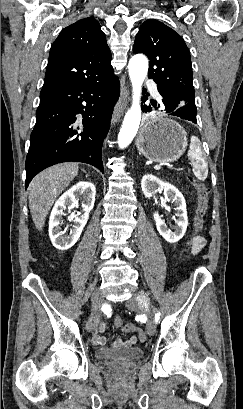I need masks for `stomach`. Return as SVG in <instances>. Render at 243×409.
<instances>
[{
  "label": "stomach",
  "mask_w": 243,
  "mask_h": 409,
  "mask_svg": "<svg viewBox=\"0 0 243 409\" xmlns=\"http://www.w3.org/2000/svg\"><path fill=\"white\" fill-rule=\"evenodd\" d=\"M138 151L147 159L174 162L187 147V133L176 121L163 115L148 119L136 139Z\"/></svg>",
  "instance_id": "obj_1"
}]
</instances>
